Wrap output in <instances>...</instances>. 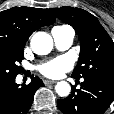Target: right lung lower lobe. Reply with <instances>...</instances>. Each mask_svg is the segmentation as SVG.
I'll list each match as a JSON object with an SVG mask.
<instances>
[{
	"label": "right lung lower lobe",
	"mask_w": 114,
	"mask_h": 114,
	"mask_svg": "<svg viewBox=\"0 0 114 114\" xmlns=\"http://www.w3.org/2000/svg\"><path fill=\"white\" fill-rule=\"evenodd\" d=\"M44 84L39 77L31 76L28 85L19 87L15 78L0 82V114H26L31 108L36 90Z\"/></svg>",
	"instance_id": "1"
}]
</instances>
